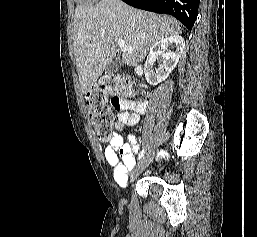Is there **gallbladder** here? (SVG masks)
Masks as SVG:
<instances>
[{
    "mask_svg": "<svg viewBox=\"0 0 257 237\" xmlns=\"http://www.w3.org/2000/svg\"><path fill=\"white\" fill-rule=\"evenodd\" d=\"M122 60L118 57L116 59H114L113 61H111L105 69V73L106 74H113L116 73L122 66Z\"/></svg>",
    "mask_w": 257,
    "mask_h": 237,
    "instance_id": "1",
    "label": "gallbladder"
}]
</instances>
